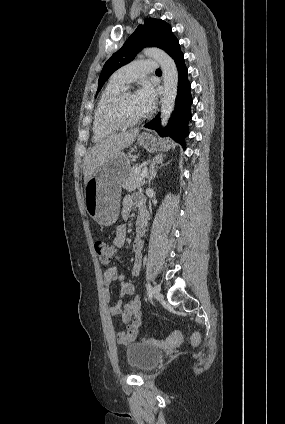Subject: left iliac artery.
I'll return each mask as SVG.
<instances>
[{
    "mask_svg": "<svg viewBox=\"0 0 285 424\" xmlns=\"http://www.w3.org/2000/svg\"><path fill=\"white\" fill-rule=\"evenodd\" d=\"M147 291H148L149 299L151 300L152 299V295H153V289H152L150 283L147 284Z\"/></svg>",
    "mask_w": 285,
    "mask_h": 424,
    "instance_id": "44dca946",
    "label": "left iliac artery"
}]
</instances>
